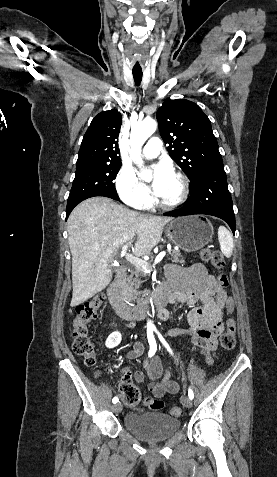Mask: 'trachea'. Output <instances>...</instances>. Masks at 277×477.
I'll return each mask as SVG.
<instances>
[{"label": "trachea", "mask_w": 277, "mask_h": 477, "mask_svg": "<svg viewBox=\"0 0 277 477\" xmlns=\"http://www.w3.org/2000/svg\"><path fill=\"white\" fill-rule=\"evenodd\" d=\"M132 74H133V78H134V81H135V84L137 86L140 85L141 81H142V76H143V73L141 70L139 71H132Z\"/></svg>", "instance_id": "3493384b"}]
</instances>
